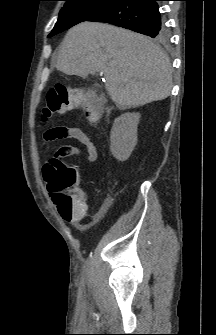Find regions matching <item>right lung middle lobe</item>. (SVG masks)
Segmentation results:
<instances>
[{"label": "right lung middle lobe", "mask_w": 216, "mask_h": 335, "mask_svg": "<svg viewBox=\"0 0 216 335\" xmlns=\"http://www.w3.org/2000/svg\"><path fill=\"white\" fill-rule=\"evenodd\" d=\"M64 7L61 9L59 18L52 32V37L70 27L88 21L94 15L105 9L116 0H64ZM167 38V32L156 37V40L163 41Z\"/></svg>", "instance_id": "dd1d6c3e"}]
</instances>
